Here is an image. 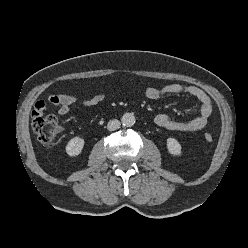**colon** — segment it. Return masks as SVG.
<instances>
[{"label": "colon", "mask_w": 248, "mask_h": 248, "mask_svg": "<svg viewBox=\"0 0 248 248\" xmlns=\"http://www.w3.org/2000/svg\"><path fill=\"white\" fill-rule=\"evenodd\" d=\"M33 130L41 143L52 146L59 133L57 120L52 116L38 117L33 120ZM206 142H212L213 137L210 133L204 134Z\"/></svg>", "instance_id": "5ec220e1"}]
</instances>
